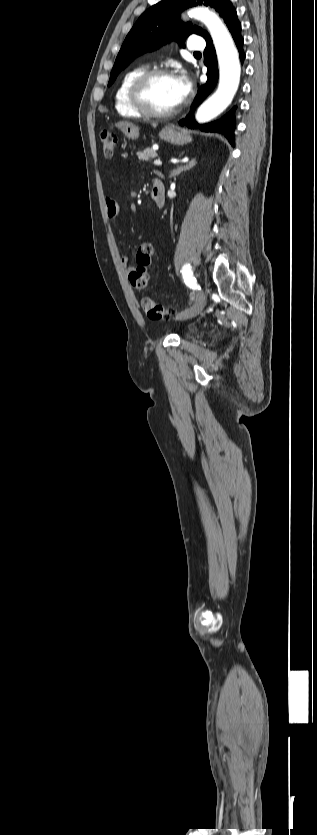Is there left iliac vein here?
Instances as JSON below:
<instances>
[{"label": "left iliac vein", "instance_id": "obj_1", "mask_svg": "<svg viewBox=\"0 0 317 835\" xmlns=\"http://www.w3.org/2000/svg\"><path fill=\"white\" fill-rule=\"evenodd\" d=\"M205 299H206V291L202 290L197 294L196 301H195L194 305L191 308L179 313L176 316V318L182 320V319H189V318L197 316L204 309Z\"/></svg>", "mask_w": 317, "mask_h": 835}]
</instances>
